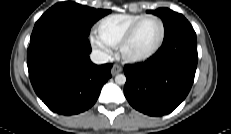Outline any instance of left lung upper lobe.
<instances>
[{
	"mask_svg": "<svg viewBox=\"0 0 231 134\" xmlns=\"http://www.w3.org/2000/svg\"><path fill=\"white\" fill-rule=\"evenodd\" d=\"M159 16L164 24V43L170 42L179 37L196 36V33L188 20L177 12L168 8H159L155 11H147Z\"/></svg>",
	"mask_w": 231,
	"mask_h": 134,
	"instance_id": "1",
	"label": "left lung upper lobe"
}]
</instances>
